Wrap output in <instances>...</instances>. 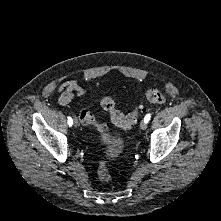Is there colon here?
I'll return each instance as SVG.
<instances>
[{
  "label": "colon",
  "instance_id": "colon-1",
  "mask_svg": "<svg viewBox=\"0 0 221 221\" xmlns=\"http://www.w3.org/2000/svg\"><path fill=\"white\" fill-rule=\"evenodd\" d=\"M145 98L150 103L164 104L166 102V95L154 88H150L145 93ZM103 109L109 114L111 122L121 129H129L136 124L138 117L143 113V106H139L129 113H122L116 109L114 101L110 97H104L101 101ZM79 120L85 125H94L97 129L106 134L109 125L107 123L97 124L93 114L88 110H81L79 113ZM109 143L111 141H108ZM111 144V143H110ZM96 153L100 157L98 176L104 181L108 182L110 180V173L108 169V156L106 154L105 145L103 142L96 146Z\"/></svg>",
  "mask_w": 221,
  "mask_h": 221
}]
</instances>
